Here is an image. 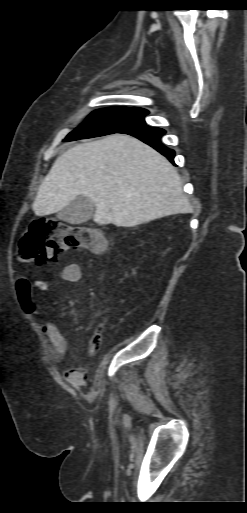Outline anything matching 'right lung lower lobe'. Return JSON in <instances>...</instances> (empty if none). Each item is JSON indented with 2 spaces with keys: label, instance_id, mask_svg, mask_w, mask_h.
Returning <instances> with one entry per match:
<instances>
[{
  "label": "right lung lower lobe",
  "instance_id": "obj_1",
  "mask_svg": "<svg viewBox=\"0 0 247 513\" xmlns=\"http://www.w3.org/2000/svg\"><path fill=\"white\" fill-rule=\"evenodd\" d=\"M118 133H125L132 135L146 144L150 145L158 152L166 156L172 163L175 153L173 150L165 147L161 142V137L165 134V131L161 128L149 127L144 123H140L134 126L127 127Z\"/></svg>",
  "mask_w": 247,
  "mask_h": 513
}]
</instances>
